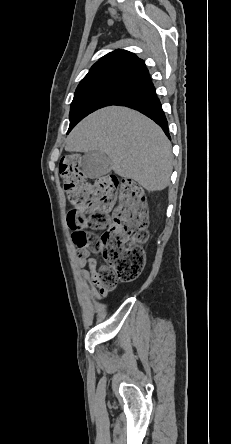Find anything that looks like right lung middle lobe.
I'll use <instances>...</instances> for the list:
<instances>
[{
  "label": "right lung middle lobe",
  "instance_id": "1",
  "mask_svg": "<svg viewBox=\"0 0 231 444\" xmlns=\"http://www.w3.org/2000/svg\"><path fill=\"white\" fill-rule=\"evenodd\" d=\"M127 92V89L114 84H103L90 88L76 89L71 103L68 133L88 114L102 107L112 105Z\"/></svg>",
  "mask_w": 231,
  "mask_h": 444
}]
</instances>
